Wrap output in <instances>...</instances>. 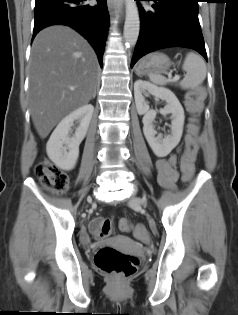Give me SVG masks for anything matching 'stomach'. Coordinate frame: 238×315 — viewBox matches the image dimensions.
<instances>
[{
	"label": "stomach",
	"instance_id": "stomach-1",
	"mask_svg": "<svg viewBox=\"0 0 238 315\" xmlns=\"http://www.w3.org/2000/svg\"><path fill=\"white\" fill-rule=\"evenodd\" d=\"M171 66L169 57L163 53L155 52L145 56L136 67L137 75L161 74Z\"/></svg>",
	"mask_w": 238,
	"mask_h": 315
}]
</instances>
